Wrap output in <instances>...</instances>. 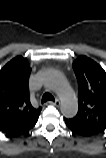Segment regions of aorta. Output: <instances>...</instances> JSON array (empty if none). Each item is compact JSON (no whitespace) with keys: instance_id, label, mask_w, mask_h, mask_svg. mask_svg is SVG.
I'll return each instance as SVG.
<instances>
[{"instance_id":"obj_1","label":"aorta","mask_w":106,"mask_h":158,"mask_svg":"<svg viewBox=\"0 0 106 158\" xmlns=\"http://www.w3.org/2000/svg\"><path fill=\"white\" fill-rule=\"evenodd\" d=\"M45 85L58 94L62 114L66 118L74 117L78 111V102L68 81L60 73L49 71L45 75Z\"/></svg>"}]
</instances>
